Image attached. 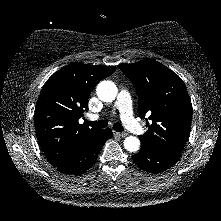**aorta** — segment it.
<instances>
[{
	"instance_id": "obj_1",
	"label": "aorta",
	"mask_w": 221,
	"mask_h": 221,
	"mask_svg": "<svg viewBox=\"0 0 221 221\" xmlns=\"http://www.w3.org/2000/svg\"><path fill=\"white\" fill-rule=\"evenodd\" d=\"M117 86L108 80L101 81L96 88V93L103 102H112L117 96ZM124 147L129 152H136L140 148V140L134 136H128L124 140Z\"/></svg>"
}]
</instances>
